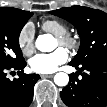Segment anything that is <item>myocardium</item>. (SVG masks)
<instances>
[{
  "label": "myocardium",
  "instance_id": "f54148a6",
  "mask_svg": "<svg viewBox=\"0 0 107 107\" xmlns=\"http://www.w3.org/2000/svg\"><path fill=\"white\" fill-rule=\"evenodd\" d=\"M56 39L60 47H63L71 52L76 51L79 47L78 38L71 33L67 32L60 36H57Z\"/></svg>",
  "mask_w": 107,
  "mask_h": 107
}]
</instances>
